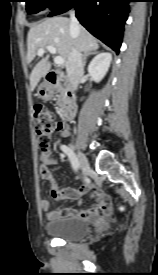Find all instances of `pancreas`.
Listing matches in <instances>:
<instances>
[{
  "label": "pancreas",
  "instance_id": "cf45deb5",
  "mask_svg": "<svg viewBox=\"0 0 158 275\" xmlns=\"http://www.w3.org/2000/svg\"><path fill=\"white\" fill-rule=\"evenodd\" d=\"M56 91H57V104L61 105L64 99L66 98L68 87L66 85L63 86L61 84H58L56 86Z\"/></svg>",
  "mask_w": 158,
  "mask_h": 275
}]
</instances>
